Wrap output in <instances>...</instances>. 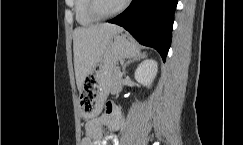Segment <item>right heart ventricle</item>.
Returning <instances> with one entry per match:
<instances>
[{
    "label": "right heart ventricle",
    "instance_id": "right-heart-ventricle-1",
    "mask_svg": "<svg viewBox=\"0 0 243 145\" xmlns=\"http://www.w3.org/2000/svg\"><path fill=\"white\" fill-rule=\"evenodd\" d=\"M88 4L89 0H75V18L82 26H91L98 21L89 13Z\"/></svg>",
    "mask_w": 243,
    "mask_h": 145
}]
</instances>
